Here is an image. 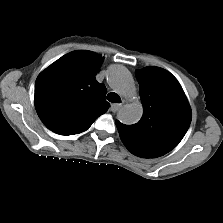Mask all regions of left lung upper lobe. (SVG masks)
Segmentation results:
<instances>
[{"label":"left lung upper lobe","mask_w":223,"mask_h":223,"mask_svg":"<svg viewBox=\"0 0 223 223\" xmlns=\"http://www.w3.org/2000/svg\"><path fill=\"white\" fill-rule=\"evenodd\" d=\"M143 116L133 125L116 122L120 138L134 155L162 156L182 140L191 123V109L177 79L158 67L137 70Z\"/></svg>","instance_id":"1"}]
</instances>
